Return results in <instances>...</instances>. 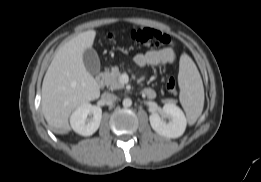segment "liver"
Segmentation results:
<instances>
[{"label":"liver","mask_w":261,"mask_h":182,"mask_svg":"<svg viewBox=\"0 0 261 182\" xmlns=\"http://www.w3.org/2000/svg\"><path fill=\"white\" fill-rule=\"evenodd\" d=\"M95 36V30H88L60 47L43 79L42 113L51 127L63 133L70 130L71 112L100 96L96 80L83 63V53L92 47Z\"/></svg>","instance_id":"obj_1"}]
</instances>
